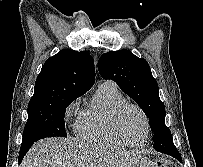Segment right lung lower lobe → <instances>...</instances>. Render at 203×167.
I'll return each mask as SVG.
<instances>
[{
	"mask_svg": "<svg viewBox=\"0 0 203 167\" xmlns=\"http://www.w3.org/2000/svg\"><path fill=\"white\" fill-rule=\"evenodd\" d=\"M34 142H29L26 144H22L19 152V163H21L23 157L28 152L29 148L33 145Z\"/></svg>",
	"mask_w": 203,
	"mask_h": 167,
	"instance_id": "right-lung-lower-lobe-1",
	"label": "right lung lower lobe"
}]
</instances>
